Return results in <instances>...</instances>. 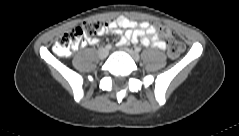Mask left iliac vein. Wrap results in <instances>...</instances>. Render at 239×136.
Masks as SVG:
<instances>
[{"label": "left iliac vein", "mask_w": 239, "mask_h": 136, "mask_svg": "<svg viewBox=\"0 0 239 136\" xmlns=\"http://www.w3.org/2000/svg\"><path fill=\"white\" fill-rule=\"evenodd\" d=\"M135 61H139L140 60V55L132 50V49H128V48H123Z\"/></svg>", "instance_id": "4c4485c4"}]
</instances>
